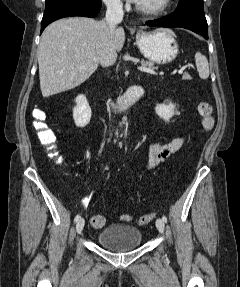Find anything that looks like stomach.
<instances>
[{"label": "stomach", "instance_id": "obj_1", "mask_svg": "<svg viewBox=\"0 0 240 287\" xmlns=\"http://www.w3.org/2000/svg\"><path fill=\"white\" fill-rule=\"evenodd\" d=\"M136 44L146 59L157 64L170 63L178 54L175 34L167 28L150 32H138L136 34Z\"/></svg>", "mask_w": 240, "mask_h": 287}]
</instances>
